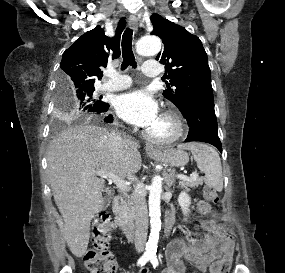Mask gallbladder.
I'll use <instances>...</instances> for the list:
<instances>
[{
  "label": "gallbladder",
  "instance_id": "1",
  "mask_svg": "<svg viewBox=\"0 0 285 273\" xmlns=\"http://www.w3.org/2000/svg\"><path fill=\"white\" fill-rule=\"evenodd\" d=\"M113 193L111 191L103 198V206L104 208L108 207L109 203L111 202Z\"/></svg>",
  "mask_w": 285,
  "mask_h": 273
}]
</instances>
